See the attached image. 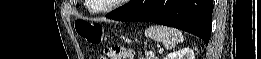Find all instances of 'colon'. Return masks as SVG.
Returning <instances> with one entry per match:
<instances>
[{
  "instance_id": "obj_1",
  "label": "colon",
  "mask_w": 261,
  "mask_h": 59,
  "mask_svg": "<svg viewBox=\"0 0 261 59\" xmlns=\"http://www.w3.org/2000/svg\"><path fill=\"white\" fill-rule=\"evenodd\" d=\"M77 33L90 44L98 45L104 41L105 32L101 24L94 22L76 21ZM104 59L132 58V52L121 46H113L105 49Z\"/></svg>"
}]
</instances>
